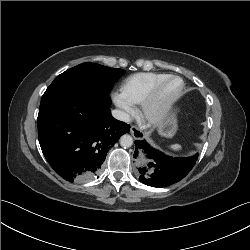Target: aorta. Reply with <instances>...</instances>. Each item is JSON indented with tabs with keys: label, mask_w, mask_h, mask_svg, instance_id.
Returning <instances> with one entry per match:
<instances>
[{
	"label": "aorta",
	"mask_w": 250,
	"mask_h": 250,
	"mask_svg": "<svg viewBox=\"0 0 250 250\" xmlns=\"http://www.w3.org/2000/svg\"><path fill=\"white\" fill-rule=\"evenodd\" d=\"M132 144H133V138L130 135L125 134L120 138V145L122 147L129 148L132 146Z\"/></svg>",
	"instance_id": "obj_1"
}]
</instances>
